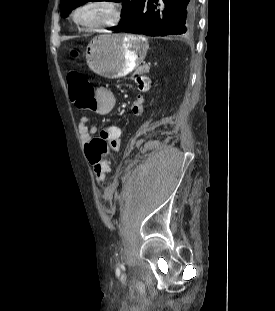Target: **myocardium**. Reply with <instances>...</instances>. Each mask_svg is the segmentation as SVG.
<instances>
[{"label": "myocardium", "mask_w": 275, "mask_h": 311, "mask_svg": "<svg viewBox=\"0 0 275 311\" xmlns=\"http://www.w3.org/2000/svg\"><path fill=\"white\" fill-rule=\"evenodd\" d=\"M101 7L108 13V17L100 21H87L83 18L86 10ZM123 19V7L118 0H87L75 6L70 13V21L85 30L113 28L118 26Z\"/></svg>", "instance_id": "1"}]
</instances>
